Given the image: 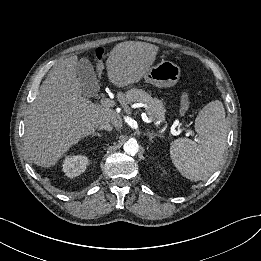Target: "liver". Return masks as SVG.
<instances>
[{"mask_svg":"<svg viewBox=\"0 0 261 261\" xmlns=\"http://www.w3.org/2000/svg\"><path fill=\"white\" fill-rule=\"evenodd\" d=\"M159 48L146 42L116 45L106 61L109 81L124 87L139 82L156 60ZM77 56L55 66L39 88L25 123V146L38 166H54L73 145L91 135L103 122L122 128L115 110L82 97Z\"/></svg>","mask_w":261,"mask_h":261,"instance_id":"1","label":"liver"}]
</instances>
